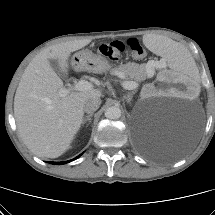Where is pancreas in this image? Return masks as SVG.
Listing matches in <instances>:
<instances>
[{"mask_svg": "<svg viewBox=\"0 0 215 215\" xmlns=\"http://www.w3.org/2000/svg\"><path fill=\"white\" fill-rule=\"evenodd\" d=\"M139 70H140V72L144 73L145 66L144 65L139 66ZM136 71H137V69H135L132 64L128 63V64H123V65L118 66L117 68L112 69L111 74L112 75L122 74L124 76V79H126V80L141 81V80L145 79L144 76L143 77L139 76L136 73Z\"/></svg>", "mask_w": 215, "mask_h": 215, "instance_id": "pancreas-1", "label": "pancreas"}]
</instances>
